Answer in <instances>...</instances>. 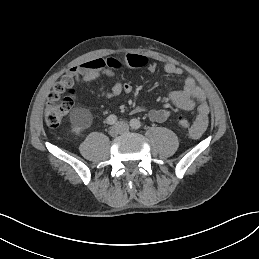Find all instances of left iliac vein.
Returning <instances> with one entry per match:
<instances>
[{
  "label": "left iliac vein",
  "instance_id": "1",
  "mask_svg": "<svg viewBox=\"0 0 259 259\" xmlns=\"http://www.w3.org/2000/svg\"><path fill=\"white\" fill-rule=\"evenodd\" d=\"M116 126L120 129L121 134L128 133L130 130L129 125L123 121L118 122Z\"/></svg>",
  "mask_w": 259,
  "mask_h": 259
}]
</instances>
